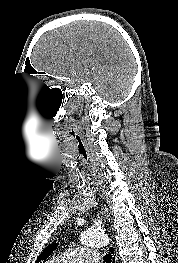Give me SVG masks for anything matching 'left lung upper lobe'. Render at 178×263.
Returning <instances> with one entry per match:
<instances>
[{
  "instance_id": "1",
  "label": "left lung upper lobe",
  "mask_w": 178,
  "mask_h": 263,
  "mask_svg": "<svg viewBox=\"0 0 178 263\" xmlns=\"http://www.w3.org/2000/svg\"><path fill=\"white\" fill-rule=\"evenodd\" d=\"M57 245L58 244L56 243V244H51L47 246L37 258L36 263H40L41 260L47 259L53 253V251L57 248Z\"/></svg>"
}]
</instances>
